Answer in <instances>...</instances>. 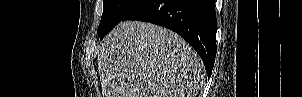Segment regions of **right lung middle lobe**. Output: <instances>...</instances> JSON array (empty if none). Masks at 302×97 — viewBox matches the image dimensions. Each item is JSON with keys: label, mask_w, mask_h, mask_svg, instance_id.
Returning a JSON list of instances; mask_svg holds the SVG:
<instances>
[{"label": "right lung middle lobe", "mask_w": 302, "mask_h": 97, "mask_svg": "<svg viewBox=\"0 0 302 97\" xmlns=\"http://www.w3.org/2000/svg\"><path fill=\"white\" fill-rule=\"evenodd\" d=\"M143 0H104L102 18L97 30L100 39Z\"/></svg>", "instance_id": "right-lung-middle-lobe-1"}]
</instances>
